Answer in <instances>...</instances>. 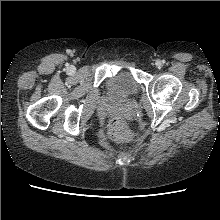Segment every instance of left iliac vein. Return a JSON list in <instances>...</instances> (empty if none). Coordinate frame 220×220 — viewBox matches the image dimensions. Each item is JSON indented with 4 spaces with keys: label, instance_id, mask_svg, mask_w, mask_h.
<instances>
[{
    "label": "left iliac vein",
    "instance_id": "4c4485c4",
    "mask_svg": "<svg viewBox=\"0 0 220 220\" xmlns=\"http://www.w3.org/2000/svg\"><path fill=\"white\" fill-rule=\"evenodd\" d=\"M157 66H160V64H159V63H157Z\"/></svg>",
    "mask_w": 220,
    "mask_h": 220
}]
</instances>
